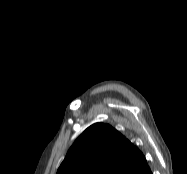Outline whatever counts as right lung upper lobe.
<instances>
[{
    "mask_svg": "<svg viewBox=\"0 0 187 174\" xmlns=\"http://www.w3.org/2000/svg\"><path fill=\"white\" fill-rule=\"evenodd\" d=\"M57 174H152L142 152L108 124L88 127Z\"/></svg>",
    "mask_w": 187,
    "mask_h": 174,
    "instance_id": "right-lung-upper-lobe-1",
    "label": "right lung upper lobe"
}]
</instances>
